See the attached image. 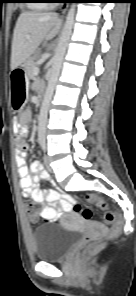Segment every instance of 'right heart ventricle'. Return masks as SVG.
Returning <instances> with one entry per match:
<instances>
[{"label":"right heart ventricle","instance_id":"obj_1","mask_svg":"<svg viewBox=\"0 0 136 296\" xmlns=\"http://www.w3.org/2000/svg\"><path fill=\"white\" fill-rule=\"evenodd\" d=\"M29 5L35 9H44L49 6V3L46 0H33Z\"/></svg>","mask_w":136,"mask_h":296}]
</instances>
